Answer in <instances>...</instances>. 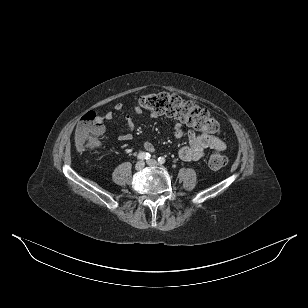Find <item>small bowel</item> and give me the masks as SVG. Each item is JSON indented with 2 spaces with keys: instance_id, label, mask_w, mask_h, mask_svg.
<instances>
[{
  "instance_id": "1",
  "label": "small bowel",
  "mask_w": 308,
  "mask_h": 308,
  "mask_svg": "<svg viewBox=\"0 0 308 308\" xmlns=\"http://www.w3.org/2000/svg\"><path fill=\"white\" fill-rule=\"evenodd\" d=\"M114 109L116 112H121L124 109V105L122 103H117ZM141 113V109L136 106L131 114H127L125 116V123L130 132L121 134L118 137L120 141L128 142L132 139V132L136 128V120L141 115ZM156 116L157 115L154 113L149 115L150 118H155ZM100 119L102 123L104 121H112L114 119V114L112 112H108L103 117H100ZM174 134L177 138L184 136L185 131L180 123H177L174 126ZM187 137L189 145L180 148L178 151L179 157L184 161H198L202 159L205 155L206 149L224 151L226 148L225 143L219 137L205 133H198L195 129H189L187 132ZM144 148L149 152L154 151V146L149 141L144 142Z\"/></svg>"
}]
</instances>
